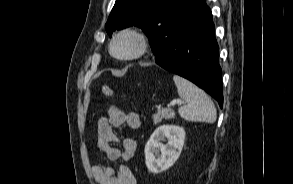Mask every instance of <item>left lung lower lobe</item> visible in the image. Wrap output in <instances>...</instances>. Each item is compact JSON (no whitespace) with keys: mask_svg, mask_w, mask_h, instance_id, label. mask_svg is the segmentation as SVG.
I'll list each match as a JSON object with an SVG mask.
<instances>
[{"mask_svg":"<svg viewBox=\"0 0 293 184\" xmlns=\"http://www.w3.org/2000/svg\"><path fill=\"white\" fill-rule=\"evenodd\" d=\"M169 24L155 62L204 89L222 107L219 47L212 13L205 0H183L173 10Z\"/></svg>","mask_w":293,"mask_h":184,"instance_id":"0a47b994","label":"left lung lower lobe"}]
</instances>
